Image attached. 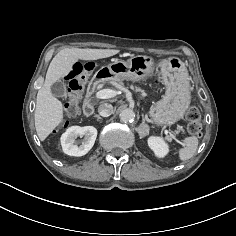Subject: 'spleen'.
Here are the masks:
<instances>
[{
	"label": "spleen",
	"mask_w": 236,
	"mask_h": 236,
	"mask_svg": "<svg viewBox=\"0 0 236 236\" xmlns=\"http://www.w3.org/2000/svg\"><path fill=\"white\" fill-rule=\"evenodd\" d=\"M183 148L179 150V158L186 161L193 157L198 147V139L196 136L187 137L183 141Z\"/></svg>",
	"instance_id": "spleen-1"
}]
</instances>
